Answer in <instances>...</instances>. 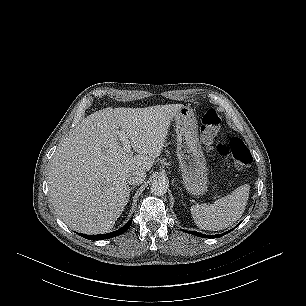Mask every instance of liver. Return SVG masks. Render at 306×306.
I'll list each match as a JSON object with an SVG mask.
<instances>
[{"mask_svg":"<svg viewBox=\"0 0 306 306\" xmlns=\"http://www.w3.org/2000/svg\"><path fill=\"white\" fill-rule=\"evenodd\" d=\"M182 107H108L83 119L60 142L49 166V196L63 222L84 234L109 232L128 203V175L151 169ZM120 131L136 155L121 147Z\"/></svg>","mask_w":306,"mask_h":306,"instance_id":"liver-1","label":"liver"}]
</instances>
